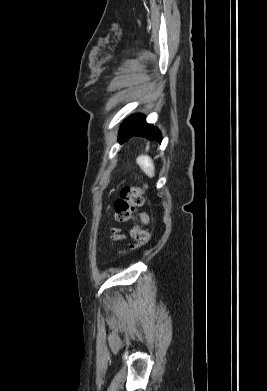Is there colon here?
Returning <instances> with one entry per match:
<instances>
[{
    "label": "colon",
    "mask_w": 267,
    "mask_h": 391,
    "mask_svg": "<svg viewBox=\"0 0 267 391\" xmlns=\"http://www.w3.org/2000/svg\"><path fill=\"white\" fill-rule=\"evenodd\" d=\"M145 188L129 187L121 189L119 197L114 202V216L118 222L131 220L136 210L144 203ZM139 222L130 229V236L134 243L130 246L135 250L144 246L149 241V233L146 230L149 218L145 212L138 213Z\"/></svg>",
    "instance_id": "1"
}]
</instances>
